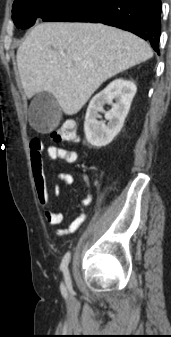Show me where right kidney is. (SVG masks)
<instances>
[{"mask_svg":"<svg viewBox=\"0 0 171 337\" xmlns=\"http://www.w3.org/2000/svg\"><path fill=\"white\" fill-rule=\"evenodd\" d=\"M135 94L136 85L133 81L116 79L92 98L84 122L88 143L95 147H103L114 139L124 124ZM105 104H112L108 112L103 109ZM100 112H105L107 125L97 120L101 118Z\"/></svg>","mask_w":171,"mask_h":337,"instance_id":"ca27d5eb","label":"right kidney"}]
</instances>
